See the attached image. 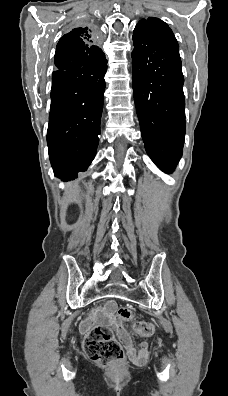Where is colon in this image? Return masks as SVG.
<instances>
[{
    "label": "colon",
    "instance_id": "5ec220e1",
    "mask_svg": "<svg viewBox=\"0 0 228 396\" xmlns=\"http://www.w3.org/2000/svg\"><path fill=\"white\" fill-rule=\"evenodd\" d=\"M121 319L133 322V312L126 307L118 310ZM134 330L144 336H149L154 331V326L145 321L133 322ZM86 356L102 366H110L120 363L124 359V351L120 343L107 326H97L89 333L84 343Z\"/></svg>",
    "mask_w": 228,
    "mask_h": 396
}]
</instances>
